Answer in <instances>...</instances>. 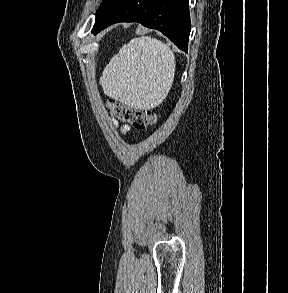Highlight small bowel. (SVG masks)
<instances>
[{
    "mask_svg": "<svg viewBox=\"0 0 288 293\" xmlns=\"http://www.w3.org/2000/svg\"><path fill=\"white\" fill-rule=\"evenodd\" d=\"M131 130V127L129 125H123L121 127L122 133H128Z\"/></svg>",
    "mask_w": 288,
    "mask_h": 293,
    "instance_id": "obj_1",
    "label": "small bowel"
}]
</instances>
